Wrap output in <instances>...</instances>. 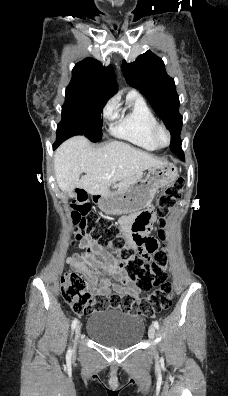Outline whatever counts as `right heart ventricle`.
I'll list each match as a JSON object with an SVG mask.
<instances>
[{
    "instance_id": "e07e8e85",
    "label": "right heart ventricle",
    "mask_w": 228,
    "mask_h": 396,
    "mask_svg": "<svg viewBox=\"0 0 228 396\" xmlns=\"http://www.w3.org/2000/svg\"><path fill=\"white\" fill-rule=\"evenodd\" d=\"M157 118L145 100L135 92H130L125 109L118 108L111 124V133L140 148L153 151L154 145L150 130Z\"/></svg>"
}]
</instances>
